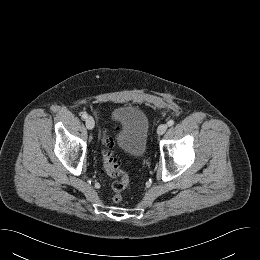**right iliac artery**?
I'll list each match as a JSON object with an SVG mask.
<instances>
[{
	"mask_svg": "<svg viewBox=\"0 0 260 260\" xmlns=\"http://www.w3.org/2000/svg\"><path fill=\"white\" fill-rule=\"evenodd\" d=\"M83 119H87V114L83 113L81 116Z\"/></svg>",
	"mask_w": 260,
	"mask_h": 260,
	"instance_id": "obj_1",
	"label": "right iliac artery"
}]
</instances>
